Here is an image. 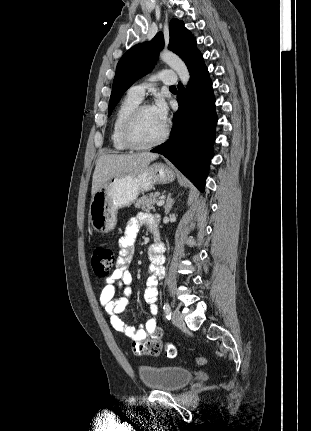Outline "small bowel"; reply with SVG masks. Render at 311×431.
<instances>
[{
	"instance_id": "obj_1",
	"label": "small bowel",
	"mask_w": 311,
	"mask_h": 431,
	"mask_svg": "<svg viewBox=\"0 0 311 431\" xmlns=\"http://www.w3.org/2000/svg\"><path fill=\"white\" fill-rule=\"evenodd\" d=\"M158 216L147 212H140L136 217L131 218L124 234L119 239V258L116 269L112 275L105 280L100 293V304L109 315L112 327L131 338L134 342H143L147 339L160 341L162 330L157 325L158 317V281L162 274V264L164 262V244L152 245L149 248V277L146 283L144 299L149 304V314L138 326L127 323L124 319V312L129 304L131 295L132 275L130 272L131 261L135 250V241L142 226H147L152 232L158 230ZM118 292L121 295H118Z\"/></svg>"
}]
</instances>
